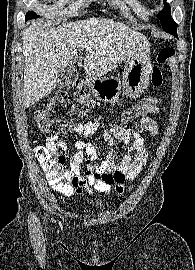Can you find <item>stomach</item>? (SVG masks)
<instances>
[{
  "label": "stomach",
  "mask_w": 195,
  "mask_h": 270,
  "mask_svg": "<svg viewBox=\"0 0 195 270\" xmlns=\"http://www.w3.org/2000/svg\"><path fill=\"white\" fill-rule=\"evenodd\" d=\"M152 73L150 44L140 41L135 52L125 61L122 80L106 77H91L88 81L94 96L103 102L115 103L121 89L125 95L137 98L148 88Z\"/></svg>",
  "instance_id": "stomach-1"
}]
</instances>
